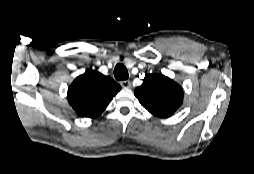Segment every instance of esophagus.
Returning <instances> with one entry per match:
<instances>
[{"instance_id":"esophagus-1","label":"esophagus","mask_w":254,"mask_h":174,"mask_svg":"<svg viewBox=\"0 0 254 174\" xmlns=\"http://www.w3.org/2000/svg\"><path fill=\"white\" fill-rule=\"evenodd\" d=\"M120 85L123 87V88H131V82L129 80H123L120 82Z\"/></svg>"}]
</instances>
